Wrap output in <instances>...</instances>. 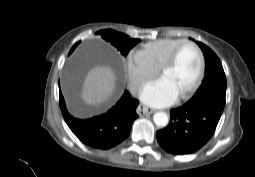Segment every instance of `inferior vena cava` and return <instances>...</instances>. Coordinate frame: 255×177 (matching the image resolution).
<instances>
[{"label":"inferior vena cava","mask_w":255,"mask_h":177,"mask_svg":"<svg viewBox=\"0 0 255 177\" xmlns=\"http://www.w3.org/2000/svg\"><path fill=\"white\" fill-rule=\"evenodd\" d=\"M137 91H138V88H132L131 89V93L133 94V95H136L137 94Z\"/></svg>","instance_id":"1"}]
</instances>
